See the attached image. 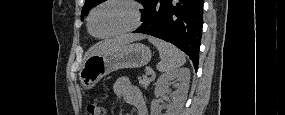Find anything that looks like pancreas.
I'll list each match as a JSON object with an SVG mask.
<instances>
[{"mask_svg": "<svg viewBox=\"0 0 285 115\" xmlns=\"http://www.w3.org/2000/svg\"><path fill=\"white\" fill-rule=\"evenodd\" d=\"M139 84L142 85L144 88H147L152 81V78L145 76L139 77Z\"/></svg>", "mask_w": 285, "mask_h": 115, "instance_id": "1", "label": "pancreas"}]
</instances>
